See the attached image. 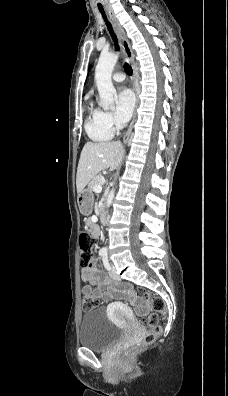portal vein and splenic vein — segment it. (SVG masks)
<instances>
[{"instance_id": "obj_1", "label": "portal vein and splenic vein", "mask_w": 228, "mask_h": 396, "mask_svg": "<svg viewBox=\"0 0 228 396\" xmlns=\"http://www.w3.org/2000/svg\"><path fill=\"white\" fill-rule=\"evenodd\" d=\"M105 183V179L102 180L94 187L95 192H100L102 190V185Z\"/></svg>"}]
</instances>
